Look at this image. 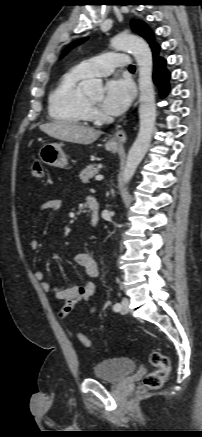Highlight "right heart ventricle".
<instances>
[{"label":"right heart ventricle","instance_id":"e07e8e85","mask_svg":"<svg viewBox=\"0 0 202 437\" xmlns=\"http://www.w3.org/2000/svg\"><path fill=\"white\" fill-rule=\"evenodd\" d=\"M86 77L78 67L61 76L48 98V112L52 119L72 124L89 121L91 109L79 88V83Z\"/></svg>","mask_w":202,"mask_h":437}]
</instances>
